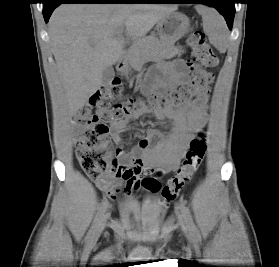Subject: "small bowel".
Returning <instances> with one entry per match:
<instances>
[{
    "mask_svg": "<svg viewBox=\"0 0 279 267\" xmlns=\"http://www.w3.org/2000/svg\"><path fill=\"white\" fill-rule=\"evenodd\" d=\"M158 71L162 74V77L157 78L152 85H145L144 91L154 93L185 85L189 80L187 65L181 59L160 63ZM207 104L208 91L205 90L197 98L184 105L163 106L154 109L153 113L158 119L172 121L170 129L167 132L154 128L149 129L148 136L134 147L131 154L124 153L119 159L124 163L134 160V163H139L142 166L141 172L132 178L125 179L124 183L121 179L106 175L97 181L99 188L110 198L116 199L119 194H129L138 186L139 177L149 174L153 169L163 172L175 171L187 150L189 142L206 122ZM150 111L147 106H140L127 115L124 120L114 124L111 128V136L114 142L122 145V130L131 121ZM155 136H158L160 140L156 144H152Z\"/></svg>",
    "mask_w": 279,
    "mask_h": 267,
    "instance_id": "c3829d8e",
    "label": "small bowel"
}]
</instances>
